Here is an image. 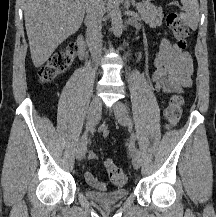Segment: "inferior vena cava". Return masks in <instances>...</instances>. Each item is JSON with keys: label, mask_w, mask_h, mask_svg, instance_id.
Instances as JSON below:
<instances>
[{"label": "inferior vena cava", "mask_w": 216, "mask_h": 217, "mask_svg": "<svg viewBox=\"0 0 216 217\" xmlns=\"http://www.w3.org/2000/svg\"><path fill=\"white\" fill-rule=\"evenodd\" d=\"M86 19L87 26L86 38L91 53L95 59L101 56L102 51V18L105 14L103 0H86Z\"/></svg>", "instance_id": "obj_1"}]
</instances>
